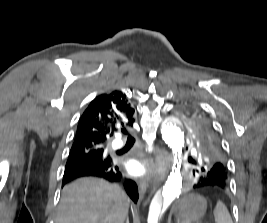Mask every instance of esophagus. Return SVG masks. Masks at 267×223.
I'll return each mask as SVG.
<instances>
[{"mask_svg":"<svg viewBox=\"0 0 267 223\" xmlns=\"http://www.w3.org/2000/svg\"><path fill=\"white\" fill-rule=\"evenodd\" d=\"M170 161H171L170 154L167 151H165L164 149H158L156 158L152 164L153 177L156 176V177H158V179H163L166 176V174L168 173ZM139 189H140L141 194L145 193V191L147 189V185L145 184V182L140 183Z\"/></svg>","mask_w":267,"mask_h":223,"instance_id":"obj_1","label":"esophagus"}]
</instances>
